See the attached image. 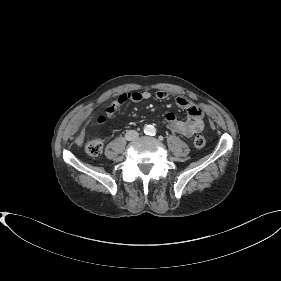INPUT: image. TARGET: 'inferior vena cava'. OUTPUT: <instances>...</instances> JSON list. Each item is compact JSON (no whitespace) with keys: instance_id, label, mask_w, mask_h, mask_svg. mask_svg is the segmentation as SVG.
Segmentation results:
<instances>
[{"instance_id":"1","label":"inferior vena cava","mask_w":281,"mask_h":281,"mask_svg":"<svg viewBox=\"0 0 281 281\" xmlns=\"http://www.w3.org/2000/svg\"><path fill=\"white\" fill-rule=\"evenodd\" d=\"M138 136H139V134L135 130H128L125 134V138L128 141L136 140L138 138Z\"/></svg>"}]
</instances>
